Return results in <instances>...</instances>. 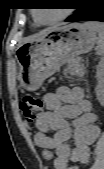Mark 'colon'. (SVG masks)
I'll return each instance as SVG.
<instances>
[{
    "label": "colon",
    "instance_id": "colon-1",
    "mask_svg": "<svg viewBox=\"0 0 104 169\" xmlns=\"http://www.w3.org/2000/svg\"><path fill=\"white\" fill-rule=\"evenodd\" d=\"M19 106L25 121L28 123L35 122L43 112V101L37 96H24L20 100ZM70 169H79V167L72 166Z\"/></svg>",
    "mask_w": 104,
    "mask_h": 169
}]
</instances>
